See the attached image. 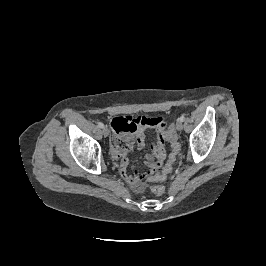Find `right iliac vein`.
Wrapping results in <instances>:
<instances>
[{
    "label": "right iliac vein",
    "instance_id": "right-iliac-vein-1",
    "mask_svg": "<svg viewBox=\"0 0 266 266\" xmlns=\"http://www.w3.org/2000/svg\"><path fill=\"white\" fill-rule=\"evenodd\" d=\"M102 133L104 136H108L109 135V129L107 127H103Z\"/></svg>",
    "mask_w": 266,
    "mask_h": 266
}]
</instances>
